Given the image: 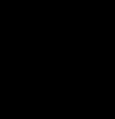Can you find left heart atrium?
Here are the masks:
<instances>
[{"label":"left heart atrium","mask_w":115,"mask_h":119,"mask_svg":"<svg viewBox=\"0 0 115 119\" xmlns=\"http://www.w3.org/2000/svg\"><path fill=\"white\" fill-rule=\"evenodd\" d=\"M65 56L70 60H78L81 56V51L77 49H70L65 53Z\"/></svg>","instance_id":"obj_1"}]
</instances>
